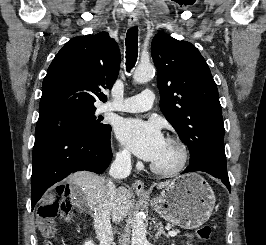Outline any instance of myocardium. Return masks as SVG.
I'll return each mask as SVG.
<instances>
[{
    "label": "myocardium",
    "mask_w": 266,
    "mask_h": 245,
    "mask_svg": "<svg viewBox=\"0 0 266 245\" xmlns=\"http://www.w3.org/2000/svg\"><path fill=\"white\" fill-rule=\"evenodd\" d=\"M166 140L168 142L175 143L180 149V161H179L178 165L173 169L164 170V169H160V168L156 167L153 163H151L150 164V170L152 173L159 175V176L173 177V176H176V175H178L184 171V169L186 168L187 163L189 161L190 153H189L188 146L180 138L168 137Z\"/></svg>",
    "instance_id": "f54148a6"
}]
</instances>
